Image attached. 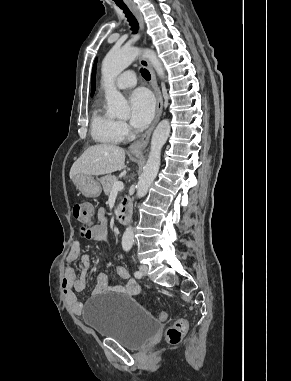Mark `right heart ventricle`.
Segmentation results:
<instances>
[{
    "label": "right heart ventricle",
    "mask_w": 291,
    "mask_h": 381,
    "mask_svg": "<svg viewBox=\"0 0 291 381\" xmlns=\"http://www.w3.org/2000/svg\"><path fill=\"white\" fill-rule=\"evenodd\" d=\"M91 134L96 142L102 144H117L124 138L119 122L107 114L100 105H96L92 110Z\"/></svg>",
    "instance_id": "e07e8e85"
}]
</instances>
